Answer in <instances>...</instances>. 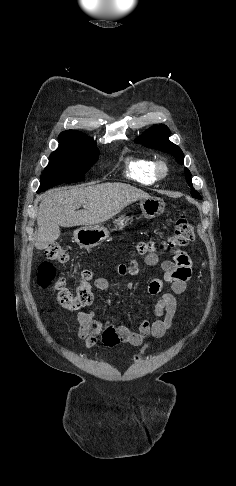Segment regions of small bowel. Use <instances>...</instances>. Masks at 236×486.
Masks as SVG:
<instances>
[{"instance_id": "small-bowel-1", "label": "small bowel", "mask_w": 236, "mask_h": 486, "mask_svg": "<svg viewBox=\"0 0 236 486\" xmlns=\"http://www.w3.org/2000/svg\"><path fill=\"white\" fill-rule=\"evenodd\" d=\"M172 253V261L166 260L160 263L164 272L163 277L152 279L147 286V292L150 296H159L154 305V319L152 321L145 319L140 322L137 330H132L125 325L104 327L102 322L95 318L93 311L76 313L79 324L78 336L88 348L95 346L98 337L102 336L106 346L112 347L119 342H124L139 347V352L134 356L135 360H139L148 349L147 337L161 338L165 335L176 315L178 300L185 292L187 282L191 278L192 261L189 255L177 249L173 250ZM145 263L148 266L158 265V256L154 253L147 255ZM117 273L120 276L137 274V261L132 260L128 265L120 264L117 267ZM164 283L170 285L171 293L161 294ZM94 287L99 291H106L109 288V282L103 277H98L94 281ZM127 288L130 291L134 290V284L129 283Z\"/></svg>"}]
</instances>
